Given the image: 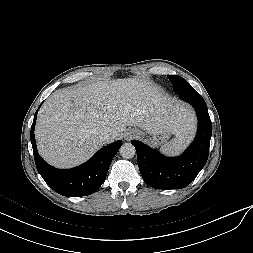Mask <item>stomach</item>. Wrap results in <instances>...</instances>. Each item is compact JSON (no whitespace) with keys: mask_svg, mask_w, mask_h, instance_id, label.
I'll return each mask as SVG.
<instances>
[{"mask_svg":"<svg viewBox=\"0 0 253 253\" xmlns=\"http://www.w3.org/2000/svg\"><path fill=\"white\" fill-rule=\"evenodd\" d=\"M145 133L150 135L149 137H147L146 140L153 146L162 145L163 143H165L168 140V138L170 136L169 132H167L165 129H161V128L158 130L152 131V132L145 131ZM145 133L140 131L139 134L141 136H145Z\"/></svg>","mask_w":253,"mask_h":253,"instance_id":"0dacf381","label":"stomach"}]
</instances>
